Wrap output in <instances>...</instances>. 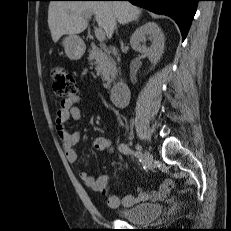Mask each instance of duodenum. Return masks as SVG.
Masks as SVG:
<instances>
[{
	"label": "duodenum",
	"instance_id": "duodenum-1",
	"mask_svg": "<svg viewBox=\"0 0 231 231\" xmlns=\"http://www.w3.org/2000/svg\"><path fill=\"white\" fill-rule=\"evenodd\" d=\"M109 51L112 54H117V50L115 47H110ZM128 97L129 86L127 81L125 79L118 80L111 90L110 98L112 103L118 108L123 107L126 104Z\"/></svg>",
	"mask_w": 231,
	"mask_h": 231
}]
</instances>
